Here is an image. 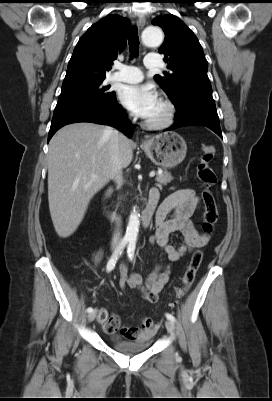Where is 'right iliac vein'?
Listing matches in <instances>:
<instances>
[{
    "instance_id": "right-iliac-vein-1",
    "label": "right iliac vein",
    "mask_w": 272,
    "mask_h": 401,
    "mask_svg": "<svg viewBox=\"0 0 272 401\" xmlns=\"http://www.w3.org/2000/svg\"><path fill=\"white\" fill-rule=\"evenodd\" d=\"M95 317H96V313L95 312H91V313L88 314L87 318H88L89 322H92L95 319Z\"/></svg>"
}]
</instances>
